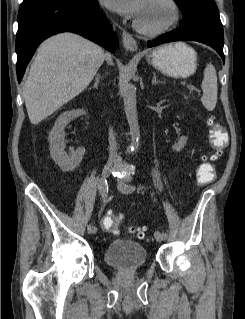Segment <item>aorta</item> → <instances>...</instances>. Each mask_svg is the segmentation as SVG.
Wrapping results in <instances>:
<instances>
[{"label":"aorta","mask_w":245,"mask_h":319,"mask_svg":"<svg viewBox=\"0 0 245 319\" xmlns=\"http://www.w3.org/2000/svg\"><path fill=\"white\" fill-rule=\"evenodd\" d=\"M123 98L124 111L130 128L131 150L132 152H136L140 145V130L136 106V87L128 80L124 84Z\"/></svg>","instance_id":"obj_1"}]
</instances>
